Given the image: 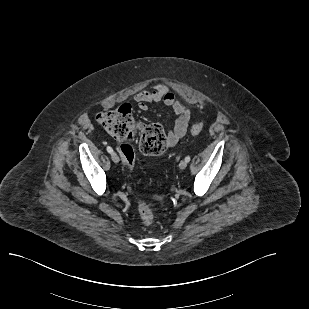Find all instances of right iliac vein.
Masks as SVG:
<instances>
[{"label":"right iliac vein","mask_w":309,"mask_h":309,"mask_svg":"<svg viewBox=\"0 0 309 309\" xmlns=\"http://www.w3.org/2000/svg\"><path fill=\"white\" fill-rule=\"evenodd\" d=\"M111 158H112L114 163H119V161H120L119 156L115 152H113L111 154Z\"/></svg>","instance_id":"1"}]
</instances>
